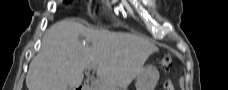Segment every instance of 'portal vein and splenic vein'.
I'll return each instance as SVG.
<instances>
[{"mask_svg": "<svg viewBox=\"0 0 228 90\" xmlns=\"http://www.w3.org/2000/svg\"><path fill=\"white\" fill-rule=\"evenodd\" d=\"M88 69H93V67H88Z\"/></svg>", "mask_w": 228, "mask_h": 90, "instance_id": "portal-vein-and-splenic-vein-1", "label": "portal vein and splenic vein"}]
</instances>
